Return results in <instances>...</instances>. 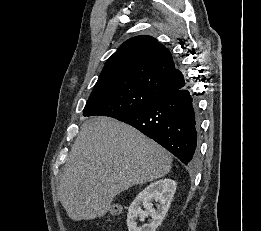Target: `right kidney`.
Here are the masks:
<instances>
[{
    "label": "right kidney",
    "instance_id": "1",
    "mask_svg": "<svg viewBox=\"0 0 261 231\" xmlns=\"http://www.w3.org/2000/svg\"><path fill=\"white\" fill-rule=\"evenodd\" d=\"M176 186L174 180L162 179L151 183L142 190L128 209V231H156L170 207ZM153 201L158 203L157 210L153 208ZM141 204H143L145 211L141 209ZM148 216L151 217L149 224L137 226L138 217L143 222Z\"/></svg>",
    "mask_w": 261,
    "mask_h": 231
}]
</instances>
